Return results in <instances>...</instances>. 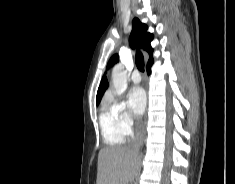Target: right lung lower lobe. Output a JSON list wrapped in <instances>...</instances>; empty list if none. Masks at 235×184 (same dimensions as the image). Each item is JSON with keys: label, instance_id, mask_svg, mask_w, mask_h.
<instances>
[{"label": "right lung lower lobe", "instance_id": "obj_1", "mask_svg": "<svg viewBox=\"0 0 235 184\" xmlns=\"http://www.w3.org/2000/svg\"><path fill=\"white\" fill-rule=\"evenodd\" d=\"M151 65H152V63L149 64V65H147V73H148V74H150V72H151V71H150V66H151Z\"/></svg>", "mask_w": 235, "mask_h": 184}]
</instances>
